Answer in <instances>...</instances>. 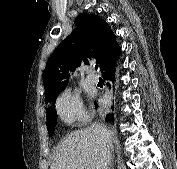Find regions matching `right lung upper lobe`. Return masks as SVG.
<instances>
[{
    "mask_svg": "<svg viewBox=\"0 0 177 169\" xmlns=\"http://www.w3.org/2000/svg\"><path fill=\"white\" fill-rule=\"evenodd\" d=\"M78 26L50 57L43 74L46 101L56 100L69 81L71 72L82 63L95 59L101 72L114 64L121 48L105 20L97 15L81 13Z\"/></svg>",
    "mask_w": 177,
    "mask_h": 169,
    "instance_id": "cb5924a9",
    "label": "right lung upper lobe"
}]
</instances>
